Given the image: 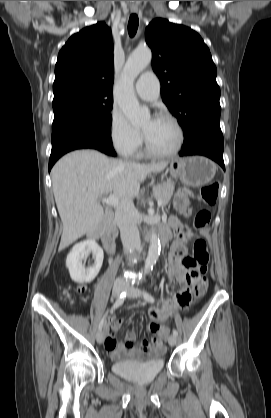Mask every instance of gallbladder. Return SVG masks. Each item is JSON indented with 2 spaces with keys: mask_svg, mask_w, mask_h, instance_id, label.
<instances>
[{
  "mask_svg": "<svg viewBox=\"0 0 271 418\" xmlns=\"http://www.w3.org/2000/svg\"><path fill=\"white\" fill-rule=\"evenodd\" d=\"M103 231V225L100 223L92 232L91 235L96 236Z\"/></svg>",
  "mask_w": 271,
  "mask_h": 418,
  "instance_id": "bac80fb5",
  "label": "gallbladder"
}]
</instances>
